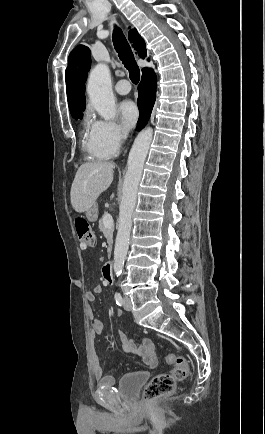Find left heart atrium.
Listing matches in <instances>:
<instances>
[{
    "label": "left heart atrium",
    "mask_w": 265,
    "mask_h": 434,
    "mask_svg": "<svg viewBox=\"0 0 265 434\" xmlns=\"http://www.w3.org/2000/svg\"><path fill=\"white\" fill-rule=\"evenodd\" d=\"M122 125L126 129H131L137 122L139 111L136 105L131 101L121 103L119 107Z\"/></svg>",
    "instance_id": "39dd6f15"
}]
</instances>
